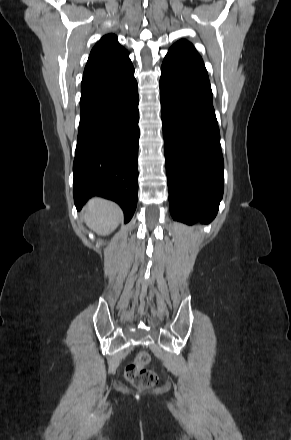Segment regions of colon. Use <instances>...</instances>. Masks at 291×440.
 Segmentation results:
<instances>
[{"label":"colon","mask_w":291,"mask_h":440,"mask_svg":"<svg viewBox=\"0 0 291 440\" xmlns=\"http://www.w3.org/2000/svg\"><path fill=\"white\" fill-rule=\"evenodd\" d=\"M150 361L151 357L147 352H139L136 358L126 367L127 378L139 390L147 389L158 383L157 374L146 368Z\"/></svg>","instance_id":"5ec220e1"}]
</instances>
